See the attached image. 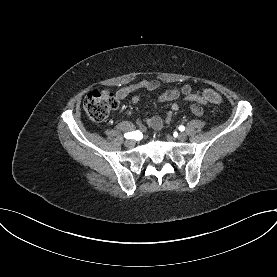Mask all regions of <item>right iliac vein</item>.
<instances>
[{"mask_svg": "<svg viewBox=\"0 0 277 277\" xmlns=\"http://www.w3.org/2000/svg\"><path fill=\"white\" fill-rule=\"evenodd\" d=\"M125 146L128 148H132L135 146V141L133 139H128L125 141Z\"/></svg>", "mask_w": 277, "mask_h": 277, "instance_id": "right-iliac-vein-1", "label": "right iliac vein"}]
</instances>
